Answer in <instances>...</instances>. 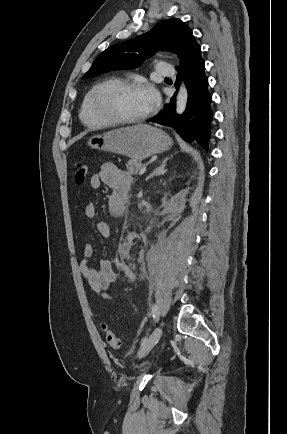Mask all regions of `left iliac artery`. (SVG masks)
I'll return each mask as SVG.
<instances>
[{
	"label": "left iliac artery",
	"instance_id": "obj_1",
	"mask_svg": "<svg viewBox=\"0 0 287 434\" xmlns=\"http://www.w3.org/2000/svg\"><path fill=\"white\" fill-rule=\"evenodd\" d=\"M159 315H160L159 308H158L157 305L154 304V305L152 306V316H153V319L155 320L156 318L159 317ZM145 341H146V337L142 340L141 345H143V343H144Z\"/></svg>",
	"mask_w": 287,
	"mask_h": 434
}]
</instances>
